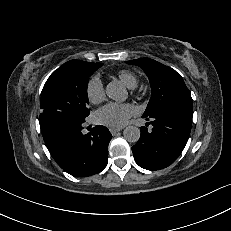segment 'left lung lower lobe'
<instances>
[{
  "label": "left lung lower lobe",
  "instance_id": "1",
  "mask_svg": "<svg viewBox=\"0 0 231 231\" xmlns=\"http://www.w3.org/2000/svg\"><path fill=\"white\" fill-rule=\"evenodd\" d=\"M192 105L170 104L142 116L153 128L141 127V136L132 147L136 163L147 170L171 165L183 151L191 131ZM148 125V124H147ZM146 125V126H147Z\"/></svg>",
  "mask_w": 231,
  "mask_h": 231
}]
</instances>
